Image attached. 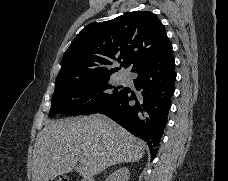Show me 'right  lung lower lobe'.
I'll use <instances>...</instances> for the list:
<instances>
[{
  "label": "right lung lower lobe",
  "instance_id": "98d812e1",
  "mask_svg": "<svg viewBox=\"0 0 228 181\" xmlns=\"http://www.w3.org/2000/svg\"><path fill=\"white\" fill-rule=\"evenodd\" d=\"M172 47L134 70L137 91L125 87L124 94L100 113L107 115L133 135L147 142L153 160L167 121L176 72ZM137 95V96H136Z\"/></svg>",
  "mask_w": 228,
  "mask_h": 181
}]
</instances>
